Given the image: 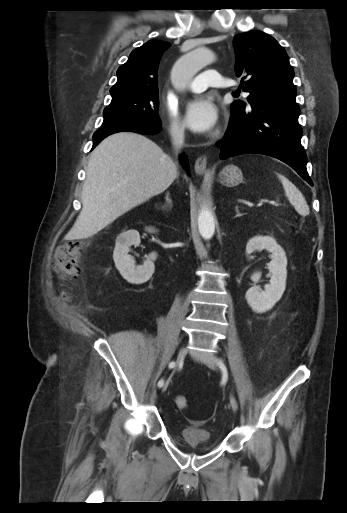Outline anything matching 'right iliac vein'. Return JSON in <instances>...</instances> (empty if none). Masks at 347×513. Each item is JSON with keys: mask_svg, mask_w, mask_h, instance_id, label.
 <instances>
[{"mask_svg": "<svg viewBox=\"0 0 347 513\" xmlns=\"http://www.w3.org/2000/svg\"><path fill=\"white\" fill-rule=\"evenodd\" d=\"M186 355V349L185 348H181V350L179 351V354H178V357H177V364H180L182 362V360L184 359ZM168 387V383H166L163 387V391H166Z\"/></svg>", "mask_w": 347, "mask_h": 513, "instance_id": "obj_1", "label": "right iliac vein"}]
</instances>
